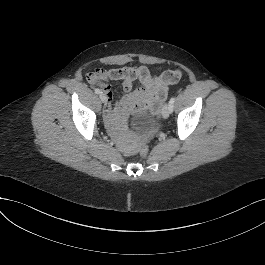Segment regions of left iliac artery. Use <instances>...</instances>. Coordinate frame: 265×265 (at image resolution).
Returning a JSON list of instances; mask_svg holds the SVG:
<instances>
[{"label":"left iliac artery","instance_id":"1","mask_svg":"<svg viewBox=\"0 0 265 265\" xmlns=\"http://www.w3.org/2000/svg\"><path fill=\"white\" fill-rule=\"evenodd\" d=\"M174 102H175V98L172 97L170 100H169V109H170V113L173 111V107H174Z\"/></svg>","mask_w":265,"mask_h":265}]
</instances>
